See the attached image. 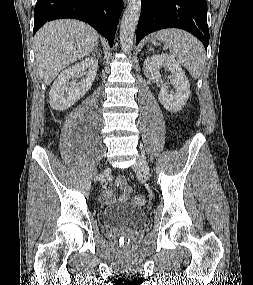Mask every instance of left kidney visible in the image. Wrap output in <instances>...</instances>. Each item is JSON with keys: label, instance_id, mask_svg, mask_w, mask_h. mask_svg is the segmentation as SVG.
<instances>
[{"label": "left kidney", "instance_id": "1", "mask_svg": "<svg viewBox=\"0 0 253 285\" xmlns=\"http://www.w3.org/2000/svg\"><path fill=\"white\" fill-rule=\"evenodd\" d=\"M161 67L171 71V84L175 88V91L169 93L168 86L164 85L161 87L158 99L168 111L178 112L182 110L189 99V80L175 58L166 53L153 55L145 59L143 66L144 74L147 78H158Z\"/></svg>", "mask_w": 253, "mask_h": 285}]
</instances>
